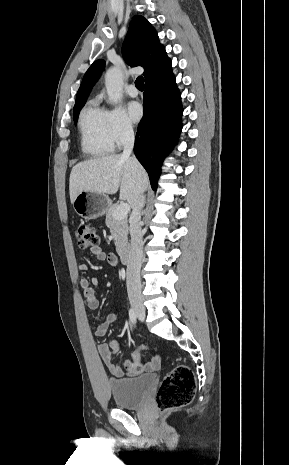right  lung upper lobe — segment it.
Segmentation results:
<instances>
[{
	"label": "right lung upper lobe",
	"instance_id": "cb5924a9",
	"mask_svg": "<svg viewBox=\"0 0 289 465\" xmlns=\"http://www.w3.org/2000/svg\"><path fill=\"white\" fill-rule=\"evenodd\" d=\"M124 60L130 66L144 68L145 84L172 75L171 60L159 42L157 32L142 16L133 17L122 46ZM103 60L95 61L85 73L77 92L76 102L86 100L104 68Z\"/></svg>",
	"mask_w": 289,
	"mask_h": 465
}]
</instances>
